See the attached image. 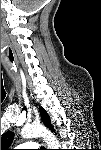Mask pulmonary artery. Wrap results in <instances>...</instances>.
<instances>
[{
    "label": "pulmonary artery",
    "instance_id": "1",
    "mask_svg": "<svg viewBox=\"0 0 101 150\" xmlns=\"http://www.w3.org/2000/svg\"><path fill=\"white\" fill-rule=\"evenodd\" d=\"M20 147H23V148H36L37 144L34 143V142H27L25 144H22Z\"/></svg>",
    "mask_w": 101,
    "mask_h": 150
}]
</instances>
